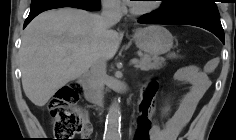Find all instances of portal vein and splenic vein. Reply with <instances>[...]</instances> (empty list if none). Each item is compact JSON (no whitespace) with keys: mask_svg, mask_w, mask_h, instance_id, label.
<instances>
[{"mask_svg":"<svg viewBox=\"0 0 236 140\" xmlns=\"http://www.w3.org/2000/svg\"><path fill=\"white\" fill-rule=\"evenodd\" d=\"M137 63H138V59H131L130 60L131 65H133V64L136 65Z\"/></svg>","mask_w":236,"mask_h":140,"instance_id":"obj_1","label":"portal vein and splenic vein"}]
</instances>
